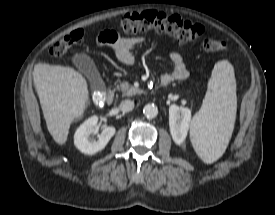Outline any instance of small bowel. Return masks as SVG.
<instances>
[{
  "mask_svg": "<svg viewBox=\"0 0 275 215\" xmlns=\"http://www.w3.org/2000/svg\"><path fill=\"white\" fill-rule=\"evenodd\" d=\"M143 42L142 37H122L112 30H104L98 37V43L110 46L117 58L126 65L135 63L134 49ZM173 64V70L170 73L163 74L161 82L168 85L173 81H183L189 76L183 57L177 52L170 55Z\"/></svg>",
  "mask_w": 275,
  "mask_h": 215,
  "instance_id": "small-bowel-1",
  "label": "small bowel"
}]
</instances>
